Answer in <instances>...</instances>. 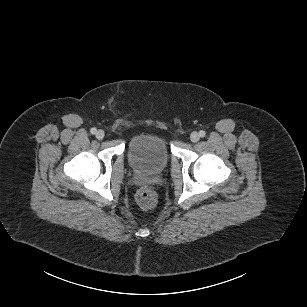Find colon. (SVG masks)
<instances>
[{
  "mask_svg": "<svg viewBox=\"0 0 307 307\" xmlns=\"http://www.w3.org/2000/svg\"><path fill=\"white\" fill-rule=\"evenodd\" d=\"M138 204L146 210H151L157 205V196L150 188H141L136 195Z\"/></svg>",
  "mask_w": 307,
  "mask_h": 307,
  "instance_id": "colon-1",
  "label": "colon"
}]
</instances>
